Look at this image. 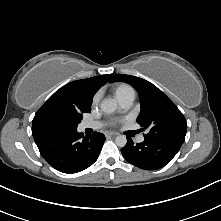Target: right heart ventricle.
Returning a JSON list of instances; mask_svg holds the SVG:
<instances>
[{"instance_id": "e07e8e85", "label": "right heart ventricle", "mask_w": 221, "mask_h": 221, "mask_svg": "<svg viewBox=\"0 0 221 221\" xmlns=\"http://www.w3.org/2000/svg\"><path fill=\"white\" fill-rule=\"evenodd\" d=\"M113 91L118 100L129 95H135L134 89L126 83L117 84L114 86Z\"/></svg>"}]
</instances>
